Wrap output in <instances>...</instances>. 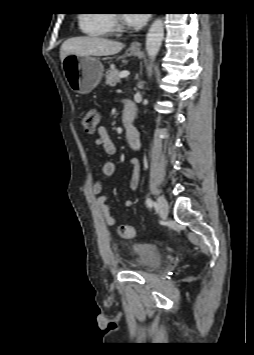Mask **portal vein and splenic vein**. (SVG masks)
<instances>
[{"label":"portal vein and splenic vein","instance_id":"portal-vein-and-splenic-vein-1","mask_svg":"<svg viewBox=\"0 0 254 355\" xmlns=\"http://www.w3.org/2000/svg\"><path fill=\"white\" fill-rule=\"evenodd\" d=\"M130 75V73L128 71H122L119 74L120 78H127Z\"/></svg>","mask_w":254,"mask_h":355}]
</instances>
